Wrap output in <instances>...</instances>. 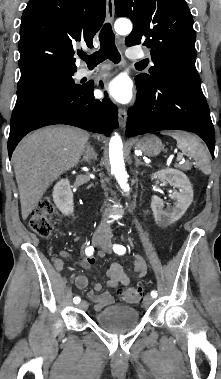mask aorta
Returning <instances> with one entry per match:
<instances>
[{"instance_id": "1", "label": "aorta", "mask_w": 221, "mask_h": 379, "mask_svg": "<svg viewBox=\"0 0 221 379\" xmlns=\"http://www.w3.org/2000/svg\"><path fill=\"white\" fill-rule=\"evenodd\" d=\"M114 27L115 31L121 35L129 34L132 31V23L127 19H118ZM109 160L111 172L115 175L118 184L124 192H128L129 185L127 183V172L123 159V143L120 135L117 133L111 137L109 142Z\"/></svg>"}]
</instances>
